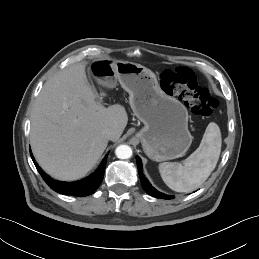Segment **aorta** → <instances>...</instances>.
Here are the masks:
<instances>
[{"label":"aorta","mask_w":259,"mask_h":259,"mask_svg":"<svg viewBox=\"0 0 259 259\" xmlns=\"http://www.w3.org/2000/svg\"><path fill=\"white\" fill-rule=\"evenodd\" d=\"M115 154L119 159H128L132 156V149L128 145H119L115 149Z\"/></svg>","instance_id":"1"}]
</instances>
